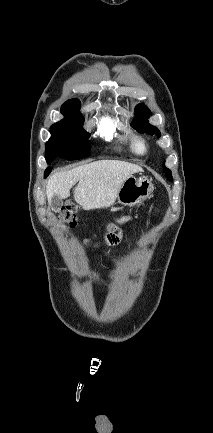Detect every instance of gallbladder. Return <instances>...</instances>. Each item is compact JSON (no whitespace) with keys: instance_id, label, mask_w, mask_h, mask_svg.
<instances>
[{"instance_id":"gallbladder-1","label":"gallbladder","mask_w":213,"mask_h":433,"mask_svg":"<svg viewBox=\"0 0 213 433\" xmlns=\"http://www.w3.org/2000/svg\"><path fill=\"white\" fill-rule=\"evenodd\" d=\"M62 204H63L62 200L57 195H54L50 200V206L54 211L60 210Z\"/></svg>"}]
</instances>
